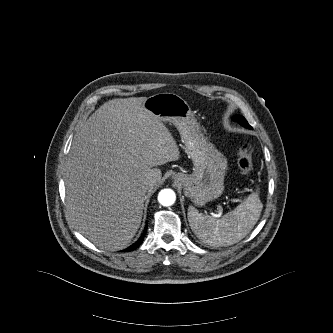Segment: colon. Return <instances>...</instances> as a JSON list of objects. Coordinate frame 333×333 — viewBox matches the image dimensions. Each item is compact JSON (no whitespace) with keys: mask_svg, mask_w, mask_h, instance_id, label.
Listing matches in <instances>:
<instances>
[{"mask_svg":"<svg viewBox=\"0 0 333 333\" xmlns=\"http://www.w3.org/2000/svg\"><path fill=\"white\" fill-rule=\"evenodd\" d=\"M251 145L245 143L238 153V167L244 174H250L253 170V163L250 155Z\"/></svg>","mask_w":333,"mask_h":333,"instance_id":"1","label":"colon"}]
</instances>
